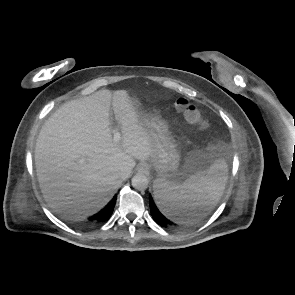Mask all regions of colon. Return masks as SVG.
I'll use <instances>...</instances> for the list:
<instances>
[{
	"mask_svg": "<svg viewBox=\"0 0 295 295\" xmlns=\"http://www.w3.org/2000/svg\"><path fill=\"white\" fill-rule=\"evenodd\" d=\"M175 107L188 124L198 125L200 127L206 126L200 109L188 99L183 97L177 98Z\"/></svg>",
	"mask_w": 295,
	"mask_h": 295,
	"instance_id": "colon-1",
	"label": "colon"
}]
</instances>
